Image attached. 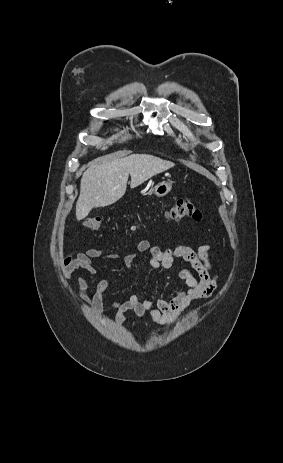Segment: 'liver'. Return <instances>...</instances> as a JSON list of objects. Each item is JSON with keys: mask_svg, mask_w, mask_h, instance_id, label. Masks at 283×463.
I'll list each match as a JSON object with an SVG mask.
<instances>
[{"mask_svg": "<svg viewBox=\"0 0 283 463\" xmlns=\"http://www.w3.org/2000/svg\"><path fill=\"white\" fill-rule=\"evenodd\" d=\"M174 165L171 161L148 154H132L107 162L90 163L81 178L76 203L77 220L84 219L94 207L108 206L122 198L129 174L130 187L135 188Z\"/></svg>", "mask_w": 283, "mask_h": 463, "instance_id": "6515ba94", "label": "liver"}]
</instances>
